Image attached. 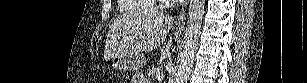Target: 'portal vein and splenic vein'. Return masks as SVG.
Returning <instances> with one entry per match:
<instances>
[{
  "label": "portal vein and splenic vein",
  "mask_w": 307,
  "mask_h": 83,
  "mask_svg": "<svg viewBox=\"0 0 307 83\" xmlns=\"http://www.w3.org/2000/svg\"><path fill=\"white\" fill-rule=\"evenodd\" d=\"M157 77H158V79H160V78L163 79L164 76L162 74H158Z\"/></svg>",
  "instance_id": "portal-vein-and-splenic-vein-1"
}]
</instances>
